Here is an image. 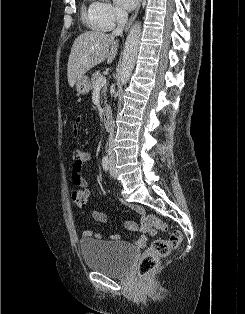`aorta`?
<instances>
[{
	"instance_id": "1",
	"label": "aorta",
	"mask_w": 245,
	"mask_h": 314,
	"mask_svg": "<svg viewBox=\"0 0 245 314\" xmlns=\"http://www.w3.org/2000/svg\"><path fill=\"white\" fill-rule=\"evenodd\" d=\"M140 37L141 23L136 22L132 25L125 42L123 59L119 71V78L122 85H125L131 77L137 59Z\"/></svg>"
}]
</instances>
